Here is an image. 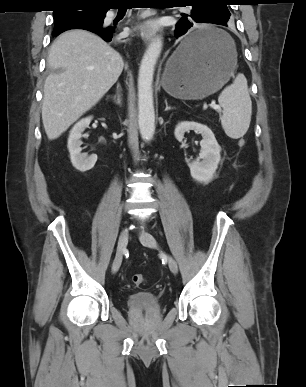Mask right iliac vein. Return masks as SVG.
<instances>
[{
  "instance_id": "right-iliac-vein-1",
  "label": "right iliac vein",
  "mask_w": 306,
  "mask_h": 387,
  "mask_svg": "<svg viewBox=\"0 0 306 387\" xmlns=\"http://www.w3.org/2000/svg\"><path fill=\"white\" fill-rule=\"evenodd\" d=\"M128 236L129 234L127 229H123L119 235L117 251L112 265L113 273H116L121 266L123 255L128 243Z\"/></svg>"
}]
</instances>
